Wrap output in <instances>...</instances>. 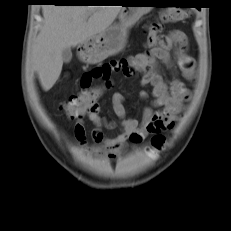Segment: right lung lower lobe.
Segmentation results:
<instances>
[{
	"mask_svg": "<svg viewBox=\"0 0 231 231\" xmlns=\"http://www.w3.org/2000/svg\"><path fill=\"white\" fill-rule=\"evenodd\" d=\"M40 2H51L57 5H77L75 0H40Z\"/></svg>",
	"mask_w": 231,
	"mask_h": 231,
	"instance_id": "1",
	"label": "right lung lower lobe"
}]
</instances>
